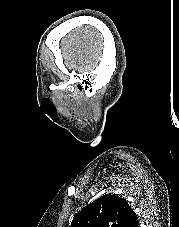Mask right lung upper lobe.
<instances>
[{
  "label": "right lung upper lobe",
  "mask_w": 179,
  "mask_h": 227,
  "mask_svg": "<svg viewBox=\"0 0 179 227\" xmlns=\"http://www.w3.org/2000/svg\"><path fill=\"white\" fill-rule=\"evenodd\" d=\"M70 227H139V223L124 198L108 194L76 213Z\"/></svg>",
  "instance_id": "cb5924a9"
}]
</instances>
